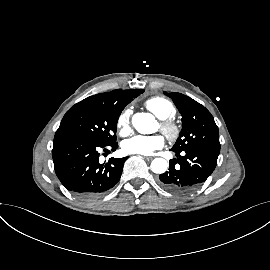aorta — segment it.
I'll return each mask as SVG.
<instances>
[{
    "label": "aorta",
    "instance_id": "aorta-1",
    "mask_svg": "<svg viewBox=\"0 0 270 270\" xmlns=\"http://www.w3.org/2000/svg\"><path fill=\"white\" fill-rule=\"evenodd\" d=\"M134 128L141 134H151L155 132L156 120L153 115L148 113H136L132 117ZM168 163L163 158H155L151 162V170L154 173H164L167 170Z\"/></svg>",
    "mask_w": 270,
    "mask_h": 270
}]
</instances>
